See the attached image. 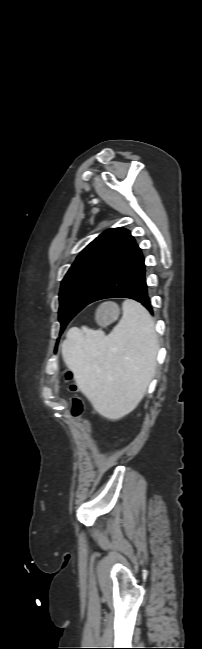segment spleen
<instances>
[{
	"label": "spleen",
	"mask_w": 202,
	"mask_h": 649,
	"mask_svg": "<svg viewBox=\"0 0 202 649\" xmlns=\"http://www.w3.org/2000/svg\"><path fill=\"white\" fill-rule=\"evenodd\" d=\"M123 316L109 335L73 328L62 356L81 392L109 419L120 418L142 400L156 367L158 338L149 312L126 300Z\"/></svg>",
	"instance_id": "obj_1"
}]
</instances>
